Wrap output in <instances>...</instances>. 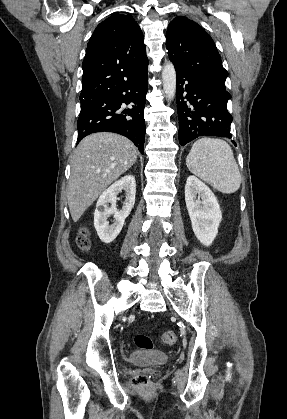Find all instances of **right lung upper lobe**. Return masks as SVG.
Instances as JSON below:
<instances>
[{"instance_id":"right-lung-upper-lobe-1","label":"right lung upper lobe","mask_w":287,"mask_h":419,"mask_svg":"<svg viewBox=\"0 0 287 419\" xmlns=\"http://www.w3.org/2000/svg\"><path fill=\"white\" fill-rule=\"evenodd\" d=\"M148 59L139 25L131 15L112 14L91 36L82 63L81 106L147 72Z\"/></svg>"}]
</instances>
